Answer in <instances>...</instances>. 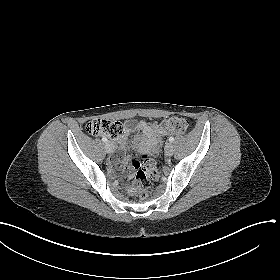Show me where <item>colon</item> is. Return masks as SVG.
Segmentation results:
<instances>
[{
    "mask_svg": "<svg viewBox=\"0 0 280 280\" xmlns=\"http://www.w3.org/2000/svg\"><path fill=\"white\" fill-rule=\"evenodd\" d=\"M188 128V123L180 117H171L163 121L160 125L159 132L161 134L175 133L182 134ZM123 126L118 121L96 118L86 125V131L92 136L106 135L112 138L122 134ZM134 171L129 178L136 184L138 196L140 199L148 197L149 178H157L159 171L155 166V162L149 156H144L142 164L134 162Z\"/></svg>",
    "mask_w": 280,
    "mask_h": 280,
    "instance_id": "1",
    "label": "colon"
}]
</instances>
